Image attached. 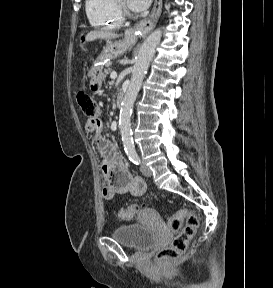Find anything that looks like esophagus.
<instances>
[{
	"label": "esophagus",
	"instance_id": "esophagus-1",
	"mask_svg": "<svg viewBox=\"0 0 273 288\" xmlns=\"http://www.w3.org/2000/svg\"><path fill=\"white\" fill-rule=\"evenodd\" d=\"M162 11V0H155L151 14L146 19L142 20L134 27L126 30V34L132 37L147 34L156 25Z\"/></svg>",
	"mask_w": 273,
	"mask_h": 288
}]
</instances>
